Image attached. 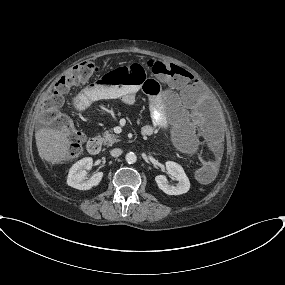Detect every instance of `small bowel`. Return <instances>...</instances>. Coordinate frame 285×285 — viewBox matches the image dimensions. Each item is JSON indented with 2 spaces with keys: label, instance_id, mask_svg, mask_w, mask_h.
<instances>
[{
  "label": "small bowel",
  "instance_id": "1",
  "mask_svg": "<svg viewBox=\"0 0 285 285\" xmlns=\"http://www.w3.org/2000/svg\"><path fill=\"white\" fill-rule=\"evenodd\" d=\"M187 84V80L184 76H180L175 83L177 88L183 89ZM140 86L124 85L122 87H103L99 84H90L82 89L73 98V105L76 109H81L89 103L97 101L99 99H120L127 105L134 104L136 100V94L139 91ZM163 103L169 109L171 113V119L176 124L183 121V109L181 105L171 98H150L149 97V111L151 122L146 124L141 134L144 137L153 135L155 132L166 131V119L164 118L161 108ZM201 137L206 141L212 149L213 154H218L220 149V139L218 135L211 131H206L201 134ZM191 142L194 146L193 140ZM208 163L216 166V162L209 161Z\"/></svg>",
  "mask_w": 285,
  "mask_h": 285
}]
</instances>
